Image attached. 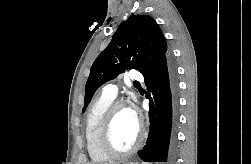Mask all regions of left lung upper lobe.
Masks as SVG:
<instances>
[{"instance_id": "obj_1", "label": "left lung upper lobe", "mask_w": 251, "mask_h": 164, "mask_svg": "<svg viewBox=\"0 0 251 164\" xmlns=\"http://www.w3.org/2000/svg\"><path fill=\"white\" fill-rule=\"evenodd\" d=\"M168 56L167 43L154 19L133 15L123 22L112 41L94 61L85 87L84 108L95 91L126 69H136L146 76Z\"/></svg>"}]
</instances>
